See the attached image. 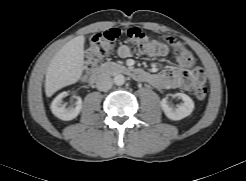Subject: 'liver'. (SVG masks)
Segmentation results:
<instances>
[{
  "label": "liver",
  "mask_w": 246,
  "mask_h": 181,
  "mask_svg": "<svg viewBox=\"0 0 246 181\" xmlns=\"http://www.w3.org/2000/svg\"><path fill=\"white\" fill-rule=\"evenodd\" d=\"M84 36L68 41L51 60L45 79V93L51 97L59 89L76 83L83 72Z\"/></svg>",
  "instance_id": "liver-1"
}]
</instances>
